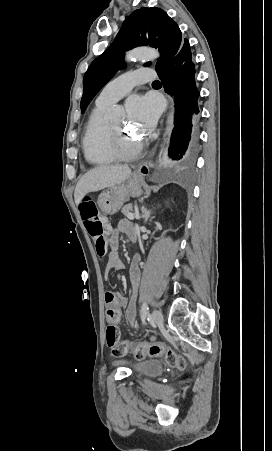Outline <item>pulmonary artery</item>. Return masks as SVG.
<instances>
[{
	"label": "pulmonary artery",
	"mask_w": 272,
	"mask_h": 451,
	"mask_svg": "<svg viewBox=\"0 0 272 451\" xmlns=\"http://www.w3.org/2000/svg\"><path fill=\"white\" fill-rule=\"evenodd\" d=\"M154 76V70H152L150 66L140 65L138 70L130 68L126 74L121 75L102 90L96 103L106 104L116 102L127 96L131 92L133 86L144 82L147 83L154 79Z\"/></svg>",
	"instance_id": "e3ab8cb5"
}]
</instances>
